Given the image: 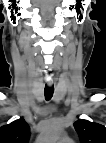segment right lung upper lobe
Here are the masks:
<instances>
[{"label":"right lung upper lobe","mask_w":106,"mask_h":143,"mask_svg":"<svg viewBox=\"0 0 106 143\" xmlns=\"http://www.w3.org/2000/svg\"><path fill=\"white\" fill-rule=\"evenodd\" d=\"M29 138L30 127L23 118L0 127V143H28Z\"/></svg>","instance_id":"cb5924a9"}]
</instances>
